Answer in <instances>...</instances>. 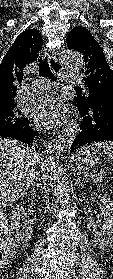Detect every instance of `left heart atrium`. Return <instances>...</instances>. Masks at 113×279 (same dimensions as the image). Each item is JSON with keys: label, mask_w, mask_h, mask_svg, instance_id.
Listing matches in <instances>:
<instances>
[{"label": "left heart atrium", "mask_w": 113, "mask_h": 279, "mask_svg": "<svg viewBox=\"0 0 113 279\" xmlns=\"http://www.w3.org/2000/svg\"><path fill=\"white\" fill-rule=\"evenodd\" d=\"M66 113V106L61 99L45 96L35 107L34 118L39 126L52 129L64 123Z\"/></svg>", "instance_id": "39dd6f15"}]
</instances>
